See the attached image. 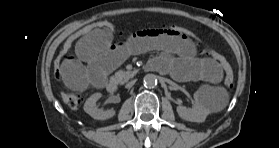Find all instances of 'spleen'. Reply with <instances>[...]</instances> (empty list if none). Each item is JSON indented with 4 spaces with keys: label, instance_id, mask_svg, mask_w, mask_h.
Wrapping results in <instances>:
<instances>
[{
    "label": "spleen",
    "instance_id": "spleen-1",
    "mask_svg": "<svg viewBox=\"0 0 279 148\" xmlns=\"http://www.w3.org/2000/svg\"><path fill=\"white\" fill-rule=\"evenodd\" d=\"M202 98L212 112L222 111L229 102V96L224 88L206 87L200 90Z\"/></svg>",
    "mask_w": 279,
    "mask_h": 148
}]
</instances>
